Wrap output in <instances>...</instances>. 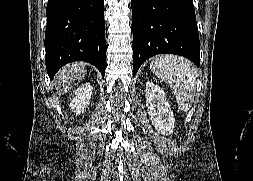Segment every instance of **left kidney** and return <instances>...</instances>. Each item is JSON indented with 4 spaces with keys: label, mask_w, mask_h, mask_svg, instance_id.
<instances>
[{
    "label": "left kidney",
    "mask_w": 253,
    "mask_h": 181,
    "mask_svg": "<svg viewBox=\"0 0 253 181\" xmlns=\"http://www.w3.org/2000/svg\"><path fill=\"white\" fill-rule=\"evenodd\" d=\"M145 92L146 107L152 124L161 134H172L175 118L165 92L152 82L146 83Z\"/></svg>",
    "instance_id": "obj_1"
}]
</instances>
